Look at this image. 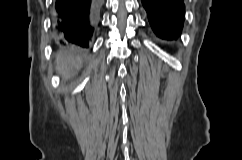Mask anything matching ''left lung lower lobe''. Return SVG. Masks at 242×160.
Returning a JSON list of instances; mask_svg holds the SVG:
<instances>
[{
  "mask_svg": "<svg viewBox=\"0 0 242 160\" xmlns=\"http://www.w3.org/2000/svg\"><path fill=\"white\" fill-rule=\"evenodd\" d=\"M155 34L163 39H177L183 27V0H141Z\"/></svg>",
  "mask_w": 242,
  "mask_h": 160,
  "instance_id": "0a47b994",
  "label": "left lung lower lobe"
}]
</instances>
